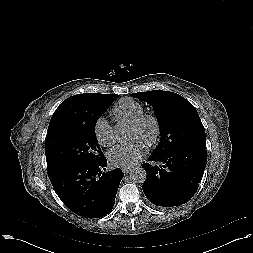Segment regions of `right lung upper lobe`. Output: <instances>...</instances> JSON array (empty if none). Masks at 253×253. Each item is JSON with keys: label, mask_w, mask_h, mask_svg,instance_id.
I'll return each mask as SVG.
<instances>
[{"label": "right lung upper lobe", "mask_w": 253, "mask_h": 253, "mask_svg": "<svg viewBox=\"0 0 253 253\" xmlns=\"http://www.w3.org/2000/svg\"><path fill=\"white\" fill-rule=\"evenodd\" d=\"M118 95L116 94H99L86 93L77 94L63 101L54 112L50 124H53L62 119H78L89 114L95 107L114 101Z\"/></svg>", "instance_id": "obj_1"}]
</instances>
